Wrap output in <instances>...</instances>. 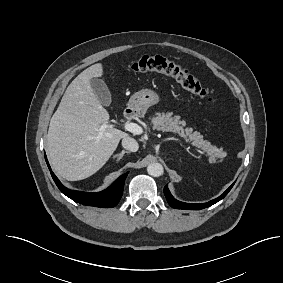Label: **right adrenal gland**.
I'll list each match as a JSON object with an SVG mask.
<instances>
[{"label": "right adrenal gland", "mask_w": 283, "mask_h": 283, "mask_svg": "<svg viewBox=\"0 0 283 283\" xmlns=\"http://www.w3.org/2000/svg\"><path fill=\"white\" fill-rule=\"evenodd\" d=\"M124 154H130V152L123 150L121 153L114 155L113 158H114V159L117 158L116 161L118 162V161H120V159H122V157L124 156Z\"/></svg>", "instance_id": "1"}]
</instances>
